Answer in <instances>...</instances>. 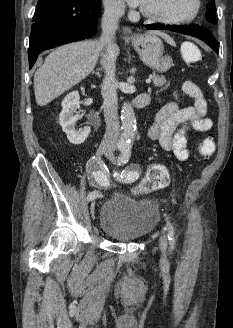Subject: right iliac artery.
Here are the masks:
<instances>
[{
  "mask_svg": "<svg viewBox=\"0 0 233 328\" xmlns=\"http://www.w3.org/2000/svg\"><path fill=\"white\" fill-rule=\"evenodd\" d=\"M120 148V147H119ZM88 168L92 171L91 176L89 177L90 183L92 186L98 189H107L112 186V183L109 180L107 169L102 161L93 157L88 164ZM101 192L99 190L92 191L88 194L87 200L92 201L95 198L101 197Z\"/></svg>",
  "mask_w": 233,
  "mask_h": 328,
  "instance_id": "right-iliac-artery-1",
  "label": "right iliac artery"
}]
</instances>
